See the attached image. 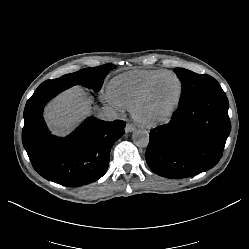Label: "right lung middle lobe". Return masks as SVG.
I'll return each mask as SVG.
<instances>
[{
	"label": "right lung middle lobe",
	"instance_id": "1",
	"mask_svg": "<svg viewBox=\"0 0 249 249\" xmlns=\"http://www.w3.org/2000/svg\"><path fill=\"white\" fill-rule=\"evenodd\" d=\"M116 66L104 64L97 67L81 69L75 73L63 75L60 78L44 81L36 90L45 88L65 87L70 88L74 85H82L97 92L101 89L103 80L108 72Z\"/></svg>",
	"mask_w": 249,
	"mask_h": 249
}]
</instances>
